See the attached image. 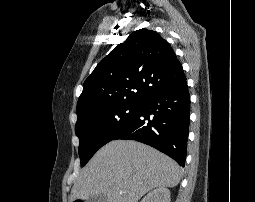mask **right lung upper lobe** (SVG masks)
<instances>
[{"mask_svg": "<svg viewBox=\"0 0 255 202\" xmlns=\"http://www.w3.org/2000/svg\"><path fill=\"white\" fill-rule=\"evenodd\" d=\"M185 81L169 43L155 31L140 29L117 45L86 79L76 113L79 119L111 105L141 104Z\"/></svg>", "mask_w": 255, "mask_h": 202, "instance_id": "obj_1", "label": "right lung upper lobe"}]
</instances>
